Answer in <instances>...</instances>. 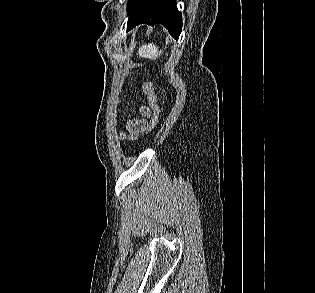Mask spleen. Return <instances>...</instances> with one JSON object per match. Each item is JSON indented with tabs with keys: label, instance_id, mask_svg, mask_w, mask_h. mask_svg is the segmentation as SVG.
Masks as SVG:
<instances>
[{
	"label": "spleen",
	"instance_id": "obj_1",
	"mask_svg": "<svg viewBox=\"0 0 315 293\" xmlns=\"http://www.w3.org/2000/svg\"><path fill=\"white\" fill-rule=\"evenodd\" d=\"M161 53L162 51H159L154 43H149L148 45H142L137 54L142 58L156 59Z\"/></svg>",
	"mask_w": 315,
	"mask_h": 293
}]
</instances>
